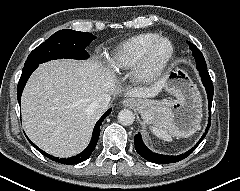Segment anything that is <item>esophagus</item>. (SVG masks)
<instances>
[{
  "mask_svg": "<svg viewBox=\"0 0 240 191\" xmlns=\"http://www.w3.org/2000/svg\"><path fill=\"white\" fill-rule=\"evenodd\" d=\"M137 101L133 98H127L123 101V105L129 108H134L136 106Z\"/></svg>",
  "mask_w": 240,
  "mask_h": 191,
  "instance_id": "obj_1",
  "label": "esophagus"
}]
</instances>
